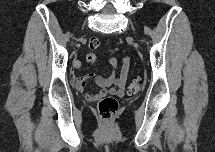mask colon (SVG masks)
Segmentation results:
<instances>
[{
    "mask_svg": "<svg viewBox=\"0 0 215 152\" xmlns=\"http://www.w3.org/2000/svg\"><path fill=\"white\" fill-rule=\"evenodd\" d=\"M99 45H100V42L97 38H95V37L90 38L89 47L91 49H96L99 47ZM86 60L89 63H94L96 61L95 54L92 52H89L86 55ZM141 84H142V82L140 79L133 80L127 88V93L130 95L137 94L141 89ZM97 109H98V113H99L100 117L104 121L110 122L115 117V115L117 114V112L119 110L118 100L111 96L103 97L98 102Z\"/></svg>",
    "mask_w": 215,
    "mask_h": 152,
    "instance_id": "colon-1",
    "label": "colon"
}]
</instances>
